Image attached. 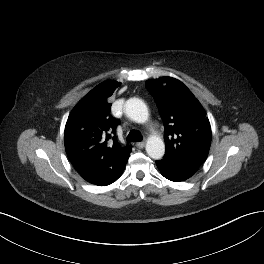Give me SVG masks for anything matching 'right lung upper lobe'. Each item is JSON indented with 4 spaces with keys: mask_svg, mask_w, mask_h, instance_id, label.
Here are the masks:
<instances>
[{
    "mask_svg": "<svg viewBox=\"0 0 264 264\" xmlns=\"http://www.w3.org/2000/svg\"><path fill=\"white\" fill-rule=\"evenodd\" d=\"M120 83L105 81L93 88L71 111L64 133L65 150L73 166L105 164L118 168L128 160L131 148L120 146L114 136L118 120L110 114V96Z\"/></svg>",
    "mask_w": 264,
    "mask_h": 264,
    "instance_id": "1",
    "label": "right lung upper lobe"
}]
</instances>
